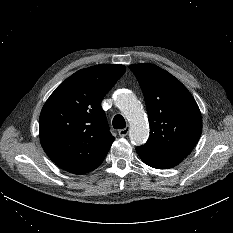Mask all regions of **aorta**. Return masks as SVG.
Instances as JSON below:
<instances>
[{"mask_svg": "<svg viewBox=\"0 0 233 233\" xmlns=\"http://www.w3.org/2000/svg\"><path fill=\"white\" fill-rule=\"evenodd\" d=\"M116 105L129 121L131 142L135 145L144 144L149 135V125L135 95L125 90L118 92Z\"/></svg>", "mask_w": 233, "mask_h": 233, "instance_id": "1", "label": "aorta"}]
</instances>
